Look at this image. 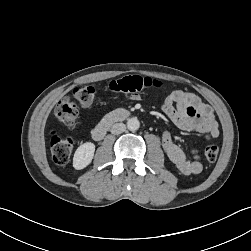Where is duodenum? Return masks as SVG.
I'll list each match as a JSON object with an SVG mask.
<instances>
[{
	"label": "duodenum",
	"instance_id": "obj_1",
	"mask_svg": "<svg viewBox=\"0 0 251 251\" xmlns=\"http://www.w3.org/2000/svg\"><path fill=\"white\" fill-rule=\"evenodd\" d=\"M129 112L126 110H116L105 115L93 129L92 136L95 140H101L107 131L116 123L128 118Z\"/></svg>",
	"mask_w": 251,
	"mask_h": 251
}]
</instances>
